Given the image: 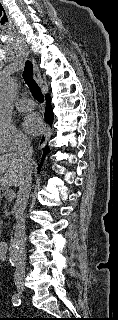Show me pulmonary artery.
Returning a JSON list of instances; mask_svg holds the SVG:
<instances>
[{
	"label": "pulmonary artery",
	"mask_w": 118,
	"mask_h": 320,
	"mask_svg": "<svg viewBox=\"0 0 118 320\" xmlns=\"http://www.w3.org/2000/svg\"><path fill=\"white\" fill-rule=\"evenodd\" d=\"M34 107H35L34 101L27 98L20 99L16 103V108L19 111H29V110H32Z\"/></svg>",
	"instance_id": "1"
}]
</instances>
